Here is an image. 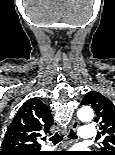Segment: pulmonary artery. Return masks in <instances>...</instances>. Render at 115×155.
Listing matches in <instances>:
<instances>
[{
	"label": "pulmonary artery",
	"instance_id": "obj_1",
	"mask_svg": "<svg viewBox=\"0 0 115 155\" xmlns=\"http://www.w3.org/2000/svg\"><path fill=\"white\" fill-rule=\"evenodd\" d=\"M96 134H97L96 129L91 126H83L79 130V136L85 142L95 139Z\"/></svg>",
	"mask_w": 115,
	"mask_h": 155
}]
</instances>
